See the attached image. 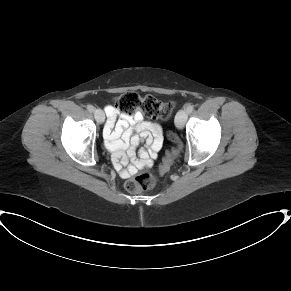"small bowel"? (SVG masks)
I'll return each mask as SVG.
<instances>
[{"label":"small bowel","instance_id":"1","mask_svg":"<svg viewBox=\"0 0 291 291\" xmlns=\"http://www.w3.org/2000/svg\"><path fill=\"white\" fill-rule=\"evenodd\" d=\"M105 111L104 136L120 174L130 177L145 167H151L162 147L160 125L145 121L141 112L126 113L112 105L106 106ZM140 144H145V147L138 149Z\"/></svg>","mask_w":291,"mask_h":291}]
</instances>
